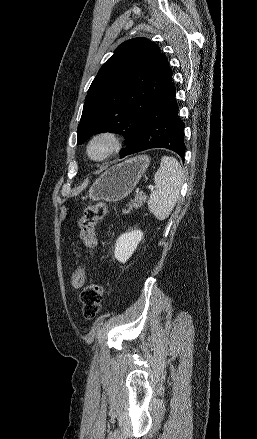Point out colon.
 Returning <instances> with one entry per match:
<instances>
[{
    "mask_svg": "<svg viewBox=\"0 0 257 439\" xmlns=\"http://www.w3.org/2000/svg\"><path fill=\"white\" fill-rule=\"evenodd\" d=\"M107 203L99 201L87 207L80 220V235L87 252L91 251L96 245L95 229L97 223L105 216ZM71 285L79 288L85 281V268L79 266L71 274ZM103 299V288L100 284L91 283L85 286L81 292V302L83 315L87 319L97 316L101 309Z\"/></svg>",
    "mask_w": 257,
    "mask_h": 439,
    "instance_id": "obj_1",
    "label": "colon"
}]
</instances>
